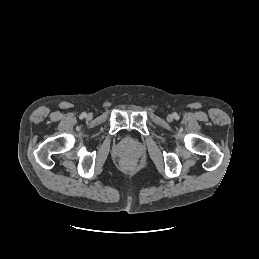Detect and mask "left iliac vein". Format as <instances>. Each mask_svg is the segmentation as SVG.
<instances>
[{
  "label": "left iliac vein",
  "instance_id": "4c4485c4",
  "mask_svg": "<svg viewBox=\"0 0 259 259\" xmlns=\"http://www.w3.org/2000/svg\"><path fill=\"white\" fill-rule=\"evenodd\" d=\"M167 120H168V121H172V120H173L172 115H168V116H167Z\"/></svg>",
  "mask_w": 259,
  "mask_h": 259
}]
</instances>
